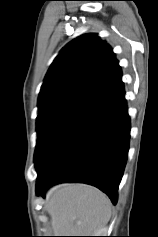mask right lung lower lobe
Listing matches in <instances>:
<instances>
[{
  "label": "right lung lower lobe",
  "mask_w": 158,
  "mask_h": 237,
  "mask_svg": "<svg viewBox=\"0 0 158 237\" xmlns=\"http://www.w3.org/2000/svg\"><path fill=\"white\" fill-rule=\"evenodd\" d=\"M130 120L121 78L71 112L35 152L37 194L60 182L96 186L117 202Z\"/></svg>",
  "instance_id": "obj_1"
}]
</instances>
